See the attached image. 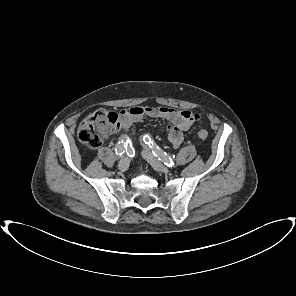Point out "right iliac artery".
<instances>
[{
    "label": "right iliac artery",
    "mask_w": 296,
    "mask_h": 296,
    "mask_svg": "<svg viewBox=\"0 0 296 296\" xmlns=\"http://www.w3.org/2000/svg\"><path fill=\"white\" fill-rule=\"evenodd\" d=\"M125 146L126 144L124 140L119 141L115 149L116 155L121 156L122 154H124Z\"/></svg>",
    "instance_id": "1"
}]
</instances>
